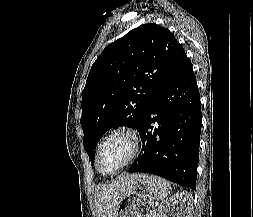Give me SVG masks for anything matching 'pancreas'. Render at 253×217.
<instances>
[{"label":"pancreas","mask_w":253,"mask_h":217,"mask_svg":"<svg viewBox=\"0 0 253 217\" xmlns=\"http://www.w3.org/2000/svg\"><path fill=\"white\" fill-rule=\"evenodd\" d=\"M147 217H157V216L154 211H150V213L147 215Z\"/></svg>","instance_id":"cf45deb5"}]
</instances>
